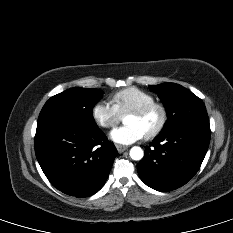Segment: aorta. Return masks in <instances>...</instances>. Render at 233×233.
Instances as JSON below:
<instances>
[{"instance_id":"obj_1","label":"aorta","mask_w":233,"mask_h":233,"mask_svg":"<svg viewBox=\"0 0 233 233\" xmlns=\"http://www.w3.org/2000/svg\"><path fill=\"white\" fill-rule=\"evenodd\" d=\"M130 157L133 160H141L144 156V152L142 150V148L138 147V146H134L130 149V153H129Z\"/></svg>"}]
</instances>
